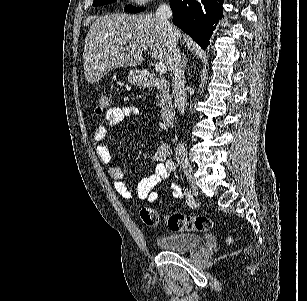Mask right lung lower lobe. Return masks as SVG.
Here are the masks:
<instances>
[{
    "mask_svg": "<svg viewBox=\"0 0 307 301\" xmlns=\"http://www.w3.org/2000/svg\"><path fill=\"white\" fill-rule=\"evenodd\" d=\"M173 23L206 47L215 29L214 24L222 17L223 0H170Z\"/></svg>",
    "mask_w": 307,
    "mask_h": 301,
    "instance_id": "98d812e1",
    "label": "right lung lower lobe"
}]
</instances>
